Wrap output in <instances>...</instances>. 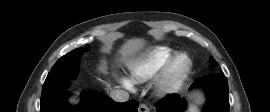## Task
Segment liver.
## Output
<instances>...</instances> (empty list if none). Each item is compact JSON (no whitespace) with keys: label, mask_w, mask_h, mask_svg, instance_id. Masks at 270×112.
Listing matches in <instances>:
<instances>
[{"label":"liver","mask_w":270,"mask_h":112,"mask_svg":"<svg viewBox=\"0 0 270 112\" xmlns=\"http://www.w3.org/2000/svg\"><path fill=\"white\" fill-rule=\"evenodd\" d=\"M144 41L142 39H130L120 49L122 54V61L129 67H133L138 60L136 53L143 47Z\"/></svg>","instance_id":"1"}]
</instances>
